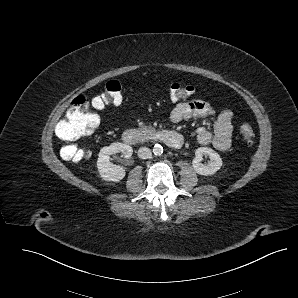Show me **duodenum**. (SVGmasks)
I'll list each match as a JSON object with an SVG mask.
<instances>
[{"label": "duodenum", "mask_w": 298, "mask_h": 298, "mask_svg": "<svg viewBox=\"0 0 298 298\" xmlns=\"http://www.w3.org/2000/svg\"><path fill=\"white\" fill-rule=\"evenodd\" d=\"M122 139L128 145H139L150 140H157L173 149H178L183 144L182 136L171 130L143 132L135 129H127L123 132Z\"/></svg>", "instance_id": "obj_1"}]
</instances>
